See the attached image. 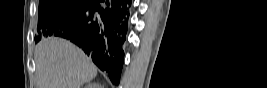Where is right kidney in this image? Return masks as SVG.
Here are the masks:
<instances>
[{
    "label": "right kidney",
    "mask_w": 267,
    "mask_h": 88,
    "mask_svg": "<svg viewBox=\"0 0 267 88\" xmlns=\"http://www.w3.org/2000/svg\"><path fill=\"white\" fill-rule=\"evenodd\" d=\"M85 88H103V87L97 82H91L87 83V85H85Z\"/></svg>",
    "instance_id": "obj_1"
}]
</instances>
